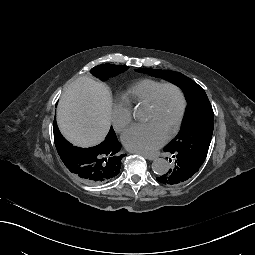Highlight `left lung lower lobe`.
Instances as JSON below:
<instances>
[{
  "label": "left lung lower lobe",
  "mask_w": 255,
  "mask_h": 255,
  "mask_svg": "<svg viewBox=\"0 0 255 255\" xmlns=\"http://www.w3.org/2000/svg\"><path fill=\"white\" fill-rule=\"evenodd\" d=\"M165 151H167L166 155L170 157V160L176 165L172 171H169L165 175H160L157 178L159 183L176 185L182 181H188L190 177L199 173V170L194 166V164L182 157L179 151Z\"/></svg>",
  "instance_id": "left-lung-lower-lobe-1"
}]
</instances>
